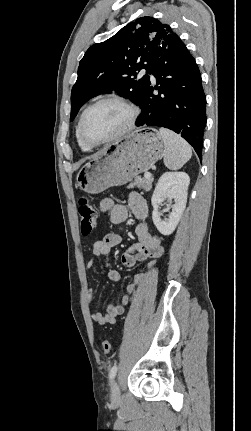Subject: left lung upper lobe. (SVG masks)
<instances>
[{
	"mask_svg": "<svg viewBox=\"0 0 251 431\" xmlns=\"http://www.w3.org/2000/svg\"><path fill=\"white\" fill-rule=\"evenodd\" d=\"M172 34L168 25L153 17H141L108 40L92 45L78 67L70 121L90 98L113 90L140 105L150 84L147 74L151 58ZM143 68L146 75L138 79L137 72Z\"/></svg>",
	"mask_w": 251,
	"mask_h": 431,
	"instance_id": "5c2ea615",
	"label": "left lung upper lobe"
}]
</instances>
